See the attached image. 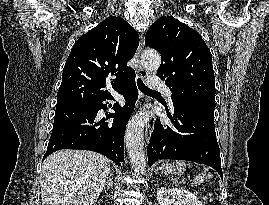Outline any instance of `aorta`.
Masks as SVG:
<instances>
[{"label":"aorta","instance_id":"762f6f07","mask_svg":"<svg viewBox=\"0 0 269 205\" xmlns=\"http://www.w3.org/2000/svg\"><path fill=\"white\" fill-rule=\"evenodd\" d=\"M141 58L143 66L148 70L156 71L160 67L161 57L157 51L145 50ZM149 119V112L141 111L130 120L126 129V148L132 168L137 174H144L146 169L143 129Z\"/></svg>","mask_w":269,"mask_h":205}]
</instances>
